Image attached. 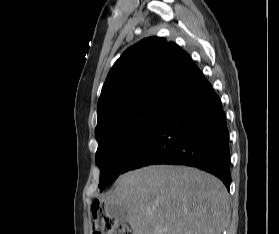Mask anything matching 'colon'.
<instances>
[{
  "instance_id": "5ec220e1",
  "label": "colon",
  "mask_w": 279,
  "mask_h": 234,
  "mask_svg": "<svg viewBox=\"0 0 279 234\" xmlns=\"http://www.w3.org/2000/svg\"><path fill=\"white\" fill-rule=\"evenodd\" d=\"M92 229L93 234H132L125 225L110 216L107 209L100 205L93 206Z\"/></svg>"
}]
</instances>
